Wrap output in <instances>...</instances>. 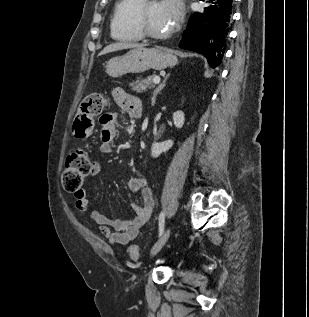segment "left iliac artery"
I'll return each instance as SVG.
<instances>
[{
  "label": "left iliac artery",
  "mask_w": 309,
  "mask_h": 317,
  "mask_svg": "<svg viewBox=\"0 0 309 317\" xmlns=\"http://www.w3.org/2000/svg\"><path fill=\"white\" fill-rule=\"evenodd\" d=\"M164 224H165V213L161 212L159 215V236H161L164 232Z\"/></svg>",
  "instance_id": "44dca946"
}]
</instances>
